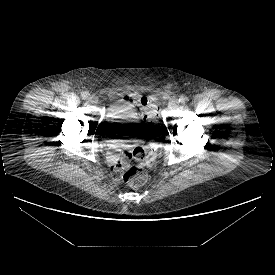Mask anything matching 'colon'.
<instances>
[{"label": "colon", "mask_w": 275, "mask_h": 275, "mask_svg": "<svg viewBox=\"0 0 275 275\" xmlns=\"http://www.w3.org/2000/svg\"><path fill=\"white\" fill-rule=\"evenodd\" d=\"M136 108L142 112L144 119L151 121L150 129L154 131L157 128L155 120L159 112L157 99L155 97H141L137 99ZM128 158L143 160L144 164L150 167L156 160V152L151 151L147 153L142 146L128 148L122 154L121 160L119 161V167H121L123 162ZM123 179L129 186L138 188L146 182L147 175L142 165H136L128 168L124 172Z\"/></svg>", "instance_id": "1"}]
</instances>
